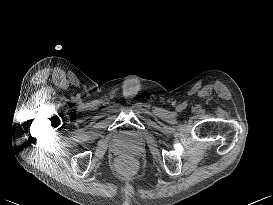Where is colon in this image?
<instances>
[{
  "mask_svg": "<svg viewBox=\"0 0 273 205\" xmlns=\"http://www.w3.org/2000/svg\"><path fill=\"white\" fill-rule=\"evenodd\" d=\"M132 162L127 158H122L118 161V168L120 171L126 173L131 170Z\"/></svg>",
  "mask_w": 273,
  "mask_h": 205,
  "instance_id": "5ec220e1",
  "label": "colon"
}]
</instances>
